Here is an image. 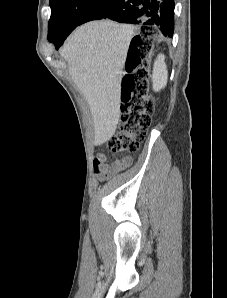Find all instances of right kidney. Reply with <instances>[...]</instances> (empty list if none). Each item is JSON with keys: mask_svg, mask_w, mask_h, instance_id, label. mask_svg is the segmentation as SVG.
Wrapping results in <instances>:
<instances>
[{"mask_svg": "<svg viewBox=\"0 0 227 298\" xmlns=\"http://www.w3.org/2000/svg\"><path fill=\"white\" fill-rule=\"evenodd\" d=\"M164 59V55L160 54L154 62L152 74L154 91L161 90L167 84L168 71Z\"/></svg>", "mask_w": 227, "mask_h": 298, "instance_id": "obj_1", "label": "right kidney"}]
</instances>
